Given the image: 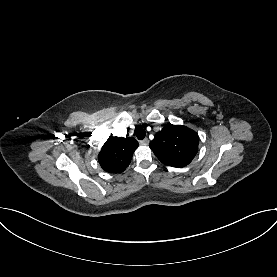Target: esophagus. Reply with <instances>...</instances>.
Masks as SVG:
<instances>
[{
  "label": "esophagus",
  "instance_id": "1",
  "mask_svg": "<svg viewBox=\"0 0 277 277\" xmlns=\"http://www.w3.org/2000/svg\"><path fill=\"white\" fill-rule=\"evenodd\" d=\"M140 144L146 146V145L149 144V140L147 138H145V139L140 141Z\"/></svg>",
  "mask_w": 277,
  "mask_h": 277
}]
</instances>
